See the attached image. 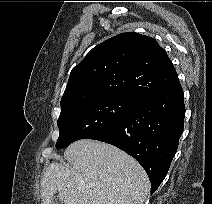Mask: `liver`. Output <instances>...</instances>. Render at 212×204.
Wrapping results in <instances>:
<instances>
[{
	"instance_id": "6515ba94",
	"label": "liver",
	"mask_w": 212,
	"mask_h": 204,
	"mask_svg": "<svg viewBox=\"0 0 212 204\" xmlns=\"http://www.w3.org/2000/svg\"><path fill=\"white\" fill-rule=\"evenodd\" d=\"M70 168L53 162L41 180L42 204L59 193L64 204H143L150 182L142 166L108 143L81 139L64 152Z\"/></svg>"
}]
</instances>
